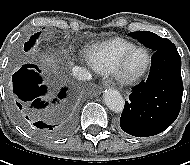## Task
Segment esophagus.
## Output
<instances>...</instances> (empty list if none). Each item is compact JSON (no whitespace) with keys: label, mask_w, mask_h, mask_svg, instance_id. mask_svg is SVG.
Instances as JSON below:
<instances>
[{"label":"esophagus","mask_w":190,"mask_h":165,"mask_svg":"<svg viewBox=\"0 0 190 165\" xmlns=\"http://www.w3.org/2000/svg\"><path fill=\"white\" fill-rule=\"evenodd\" d=\"M113 86V82H111V81H105L104 83H103V87H105V88H107V87H112Z\"/></svg>","instance_id":"34e87169"}]
</instances>
